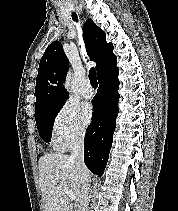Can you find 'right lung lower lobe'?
<instances>
[{"label": "right lung lower lobe", "mask_w": 178, "mask_h": 211, "mask_svg": "<svg viewBox=\"0 0 178 211\" xmlns=\"http://www.w3.org/2000/svg\"><path fill=\"white\" fill-rule=\"evenodd\" d=\"M118 71L98 81V93L92 101L93 120L85 135L84 161L89 170L99 177L108 161L119 111Z\"/></svg>", "instance_id": "obj_1"}]
</instances>
